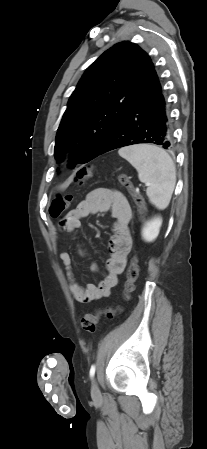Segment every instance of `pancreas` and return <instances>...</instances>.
<instances>
[{"mask_svg": "<svg viewBox=\"0 0 207 449\" xmlns=\"http://www.w3.org/2000/svg\"><path fill=\"white\" fill-rule=\"evenodd\" d=\"M131 195H132L134 198L137 197V194H136L134 191H132Z\"/></svg>", "mask_w": 207, "mask_h": 449, "instance_id": "cf45deb5", "label": "pancreas"}]
</instances>
